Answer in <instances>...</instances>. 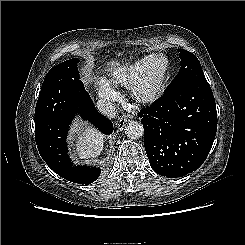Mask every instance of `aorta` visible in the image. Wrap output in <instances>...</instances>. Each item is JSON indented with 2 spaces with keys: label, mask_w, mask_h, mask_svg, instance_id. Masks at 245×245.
<instances>
[{
  "label": "aorta",
  "mask_w": 245,
  "mask_h": 245,
  "mask_svg": "<svg viewBox=\"0 0 245 245\" xmlns=\"http://www.w3.org/2000/svg\"><path fill=\"white\" fill-rule=\"evenodd\" d=\"M125 134L130 139H138L144 135L143 125L138 121H129L125 126Z\"/></svg>",
  "instance_id": "obj_1"
}]
</instances>
